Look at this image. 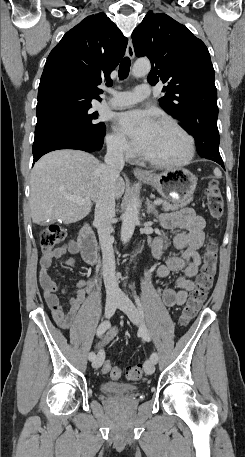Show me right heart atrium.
<instances>
[{
	"label": "right heart atrium",
	"mask_w": 245,
	"mask_h": 457,
	"mask_svg": "<svg viewBox=\"0 0 245 457\" xmlns=\"http://www.w3.org/2000/svg\"><path fill=\"white\" fill-rule=\"evenodd\" d=\"M107 144L110 151L117 156L131 159L134 155L131 144L117 132L109 134L107 137Z\"/></svg>",
	"instance_id": "1"
}]
</instances>
